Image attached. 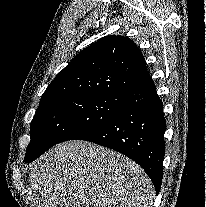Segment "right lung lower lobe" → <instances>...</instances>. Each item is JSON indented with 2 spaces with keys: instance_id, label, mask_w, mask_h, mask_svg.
<instances>
[{
  "instance_id": "1",
  "label": "right lung lower lobe",
  "mask_w": 206,
  "mask_h": 207,
  "mask_svg": "<svg viewBox=\"0 0 206 207\" xmlns=\"http://www.w3.org/2000/svg\"><path fill=\"white\" fill-rule=\"evenodd\" d=\"M125 95L126 103L116 115L76 139L111 148L137 162L152 180L158 194L165 154L163 103L151 77L132 87ZM39 156L27 158L24 162L29 163Z\"/></svg>"
}]
</instances>
